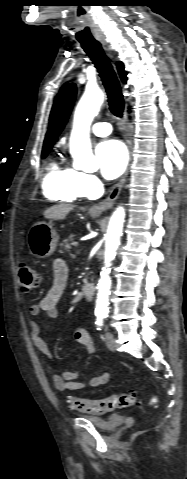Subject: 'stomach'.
<instances>
[{
    "label": "stomach",
    "mask_w": 187,
    "mask_h": 479,
    "mask_svg": "<svg viewBox=\"0 0 187 479\" xmlns=\"http://www.w3.org/2000/svg\"><path fill=\"white\" fill-rule=\"evenodd\" d=\"M27 241L31 254L43 259L49 257L55 251L58 239L53 225L42 221L31 227Z\"/></svg>",
    "instance_id": "1"
}]
</instances>
